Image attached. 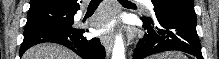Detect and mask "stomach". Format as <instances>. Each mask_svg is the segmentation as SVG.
Returning a JSON list of instances; mask_svg holds the SVG:
<instances>
[{
  "instance_id": "stomach-1",
  "label": "stomach",
  "mask_w": 219,
  "mask_h": 59,
  "mask_svg": "<svg viewBox=\"0 0 219 59\" xmlns=\"http://www.w3.org/2000/svg\"><path fill=\"white\" fill-rule=\"evenodd\" d=\"M158 59H164V56L162 57V56H160V57H158Z\"/></svg>"
}]
</instances>
